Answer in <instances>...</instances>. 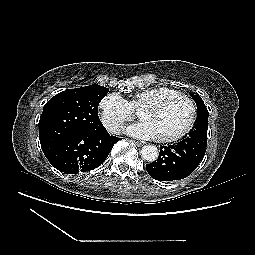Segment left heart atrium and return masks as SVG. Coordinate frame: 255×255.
I'll use <instances>...</instances> for the list:
<instances>
[{"label": "left heart atrium", "instance_id": "obj_1", "mask_svg": "<svg viewBox=\"0 0 255 255\" xmlns=\"http://www.w3.org/2000/svg\"><path fill=\"white\" fill-rule=\"evenodd\" d=\"M126 132L140 139H155L158 137L154 124L147 120L128 126Z\"/></svg>", "mask_w": 255, "mask_h": 255}]
</instances>
